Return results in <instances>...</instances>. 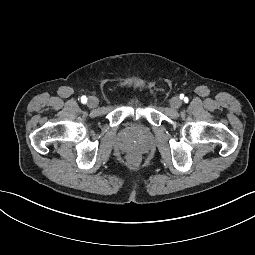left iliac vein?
Segmentation results:
<instances>
[{"label":"left iliac vein","instance_id":"obj_1","mask_svg":"<svg viewBox=\"0 0 255 255\" xmlns=\"http://www.w3.org/2000/svg\"><path fill=\"white\" fill-rule=\"evenodd\" d=\"M181 104H182V101H181V99L178 98V97H173V98L170 100V106H171L172 108H174V109L180 108Z\"/></svg>","mask_w":255,"mask_h":255}]
</instances>
